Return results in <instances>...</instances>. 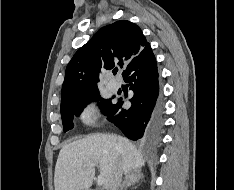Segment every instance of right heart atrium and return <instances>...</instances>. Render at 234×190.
Returning <instances> with one entry per match:
<instances>
[{
  "instance_id": "1",
  "label": "right heart atrium",
  "mask_w": 234,
  "mask_h": 190,
  "mask_svg": "<svg viewBox=\"0 0 234 190\" xmlns=\"http://www.w3.org/2000/svg\"><path fill=\"white\" fill-rule=\"evenodd\" d=\"M97 113L94 105H85L80 112V119L86 124H93L96 121Z\"/></svg>"
}]
</instances>
